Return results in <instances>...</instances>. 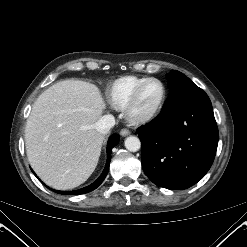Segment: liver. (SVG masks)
Returning <instances> with one entry per match:
<instances>
[{
    "label": "liver",
    "instance_id": "liver-1",
    "mask_svg": "<svg viewBox=\"0 0 247 247\" xmlns=\"http://www.w3.org/2000/svg\"><path fill=\"white\" fill-rule=\"evenodd\" d=\"M105 104L94 84L64 80L34 102L25 128L31 167L48 186L73 189L94 172L104 141L95 124Z\"/></svg>",
    "mask_w": 247,
    "mask_h": 247
}]
</instances>
